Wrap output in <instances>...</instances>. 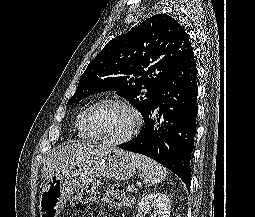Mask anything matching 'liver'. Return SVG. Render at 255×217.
<instances>
[{
  "instance_id": "1",
  "label": "liver",
  "mask_w": 255,
  "mask_h": 217,
  "mask_svg": "<svg viewBox=\"0 0 255 217\" xmlns=\"http://www.w3.org/2000/svg\"><path fill=\"white\" fill-rule=\"evenodd\" d=\"M105 149L106 147L100 144H66L43 158L41 176L43 179H50L77 163H81L87 159L99 155Z\"/></svg>"
}]
</instances>
